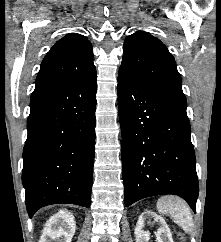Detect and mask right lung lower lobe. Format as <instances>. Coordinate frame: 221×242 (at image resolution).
Here are the masks:
<instances>
[{"label":"right lung lower lobe","instance_id":"98d812e1","mask_svg":"<svg viewBox=\"0 0 221 242\" xmlns=\"http://www.w3.org/2000/svg\"><path fill=\"white\" fill-rule=\"evenodd\" d=\"M96 78L31 99L22 172L30 217L46 205L91 203Z\"/></svg>","mask_w":221,"mask_h":242}]
</instances>
